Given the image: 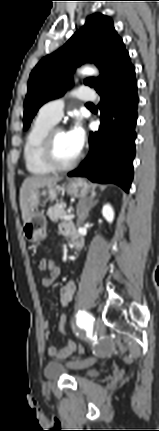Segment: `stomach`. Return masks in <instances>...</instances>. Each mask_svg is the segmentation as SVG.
<instances>
[{"instance_id":"stomach-1","label":"stomach","mask_w":159,"mask_h":431,"mask_svg":"<svg viewBox=\"0 0 159 431\" xmlns=\"http://www.w3.org/2000/svg\"><path fill=\"white\" fill-rule=\"evenodd\" d=\"M65 190L69 195L78 198H84L90 191L88 183L82 179L68 180L63 185L52 184L42 191L34 190L29 197L28 207L29 216L23 226V235L33 243L43 241L46 234L47 221L43 212L39 211L41 196H48V199L54 201L57 199L58 192Z\"/></svg>"}]
</instances>
